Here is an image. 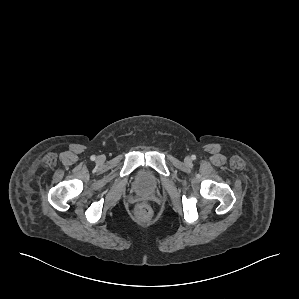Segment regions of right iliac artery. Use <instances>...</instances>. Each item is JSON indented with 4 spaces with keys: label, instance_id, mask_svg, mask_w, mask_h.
Here are the masks:
<instances>
[{
    "label": "right iliac artery",
    "instance_id": "82829eb1",
    "mask_svg": "<svg viewBox=\"0 0 299 299\" xmlns=\"http://www.w3.org/2000/svg\"><path fill=\"white\" fill-rule=\"evenodd\" d=\"M96 159V157L93 155L91 156V160L94 161Z\"/></svg>",
    "mask_w": 299,
    "mask_h": 299
}]
</instances>
